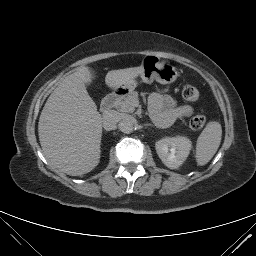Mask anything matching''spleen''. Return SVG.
<instances>
[{"mask_svg":"<svg viewBox=\"0 0 256 256\" xmlns=\"http://www.w3.org/2000/svg\"><path fill=\"white\" fill-rule=\"evenodd\" d=\"M222 138V127L219 122L207 123L198 137L196 144V162L203 166L207 164L217 152Z\"/></svg>","mask_w":256,"mask_h":256,"instance_id":"spleen-1","label":"spleen"}]
</instances>
